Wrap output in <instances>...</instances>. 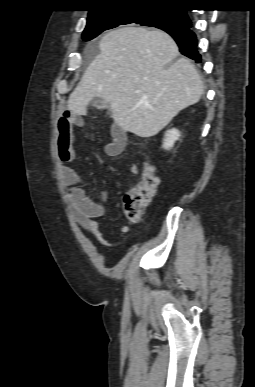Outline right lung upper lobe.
<instances>
[{"label":"right lung upper lobe","mask_w":255,"mask_h":387,"mask_svg":"<svg viewBox=\"0 0 255 387\" xmlns=\"http://www.w3.org/2000/svg\"><path fill=\"white\" fill-rule=\"evenodd\" d=\"M94 5L89 10V15H93L102 11H108L117 8L128 7H164L174 8L184 6L186 0H93ZM182 16L187 18L188 24L185 27L192 25L186 10L179 9ZM165 29H168L165 27Z\"/></svg>","instance_id":"right-lung-upper-lobe-1"}]
</instances>
